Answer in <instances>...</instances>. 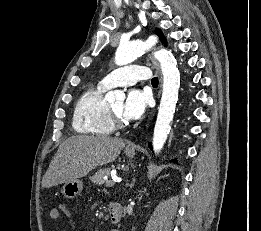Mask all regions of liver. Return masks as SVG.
Listing matches in <instances>:
<instances>
[{
  "instance_id": "obj_1",
  "label": "liver",
  "mask_w": 261,
  "mask_h": 231,
  "mask_svg": "<svg viewBox=\"0 0 261 231\" xmlns=\"http://www.w3.org/2000/svg\"><path fill=\"white\" fill-rule=\"evenodd\" d=\"M124 146L120 138L72 136L59 146L42 179V187L50 188L84 177L95 167L114 162Z\"/></svg>"
}]
</instances>
